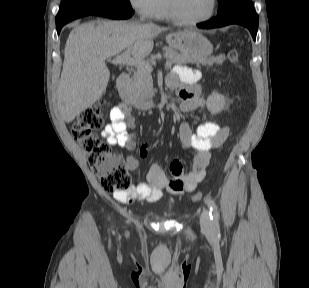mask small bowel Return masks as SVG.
Wrapping results in <instances>:
<instances>
[{
    "label": "small bowel",
    "mask_w": 309,
    "mask_h": 288,
    "mask_svg": "<svg viewBox=\"0 0 309 288\" xmlns=\"http://www.w3.org/2000/svg\"><path fill=\"white\" fill-rule=\"evenodd\" d=\"M197 76V72L179 68L167 78V86L175 89L181 98L182 113L198 110L205 105L201 88L195 83ZM134 129L130 107L119 103L111 109L110 122L104 127L101 135L112 146L133 150L136 147ZM228 135L229 127L220 126L215 122H203L195 131L188 123H181L180 140L185 147L195 152L190 169L186 171L180 160H173L170 164L169 178L158 164H154L148 170L147 182L134 185L127 193H115L114 199L120 203H133L138 200L154 202L161 198L165 188L176 195L194 191L205 177L211 152L219 149ZM146 154L147 146L141 148L140 157L144 158ZM138 162L136 156L129 155L126 158L129 170H135Z\"/></svg>",
    "instance_id": "c3829d8e"
}]
</instances>
